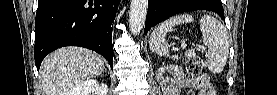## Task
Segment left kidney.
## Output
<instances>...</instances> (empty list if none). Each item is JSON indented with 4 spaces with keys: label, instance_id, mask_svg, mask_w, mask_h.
Returning a JSON list of instances; mask_svg holds the SVG:
<instances>
[{
    "label": "left kidney",
    "instance_id": "obj_1",
    "mask_svg": "<svg viewBox=\"0 0 277 95\" xmlns=\"http://www.w3.org/2000/svg\"><path fill=\"white\" fill-rule=\"evenodd\" d=\"M173 69L172 66H163L156 72V79L164 92L174 93L180 92L182 89L181 78L170 79L164 76L165 72L173 73Z\"/></svg>",
    "mask_w": 277,
    "mask_h": 95
}]
</instances>
